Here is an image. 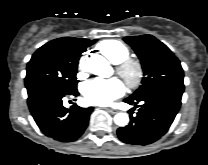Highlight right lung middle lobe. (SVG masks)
Instances as JSON below:
<instances>
[{
  "mask_svg": "<svg viewBox=\"0 0 208 165\" xmlns=\"http://www.w3.org/2000/svg\"><path fill=\"white\" fill-rule=\"evenodd\" d=\"M91 44H69L55 39L40 47L27 64L28 97L43 90H76L78 61Z\"/></svg>",
  "mask_w": 208,
  "mask_h": 165,
  "instance_id": "1",
  "label": "right lung middle lobe"
}]
</instances>
